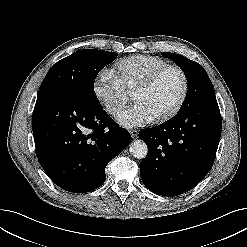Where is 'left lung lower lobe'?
Wrapping results in <instances>:
<instances>
[{
    "label": "left lung lower lobe",
    "mask_w": 247,
    "mask_h": 247,
    "mask_svg": "<svg viewBox=\"0 0 247 247\" xmlns=\"http://www.w3.org/2000/svg\"><path fill=\"white\" fill-rule=\"evenodd\" d=\"M218 103L184 110L168 121L141 129L148 146L140 163L143 184L163 196L195 187L211 169L221 136Z\"/></svg>",
    "instance_id": "left-lung-lower-lobe-1"
}]
</instances>
